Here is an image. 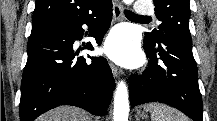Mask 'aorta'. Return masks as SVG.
<instances>
[{
	"mask_svg": "<svg viewBox=\"0 0 217 121\" xmlns=\"http://www.w3.org/2000/svg\"><path fill=\"white\" fill-rule=\"evenodd\" d=\"M126 5H130L133 0H123ZM129 100L128 88L126 83L121 81L118 83L114 96V112L113 121H128Z\"/></svg>",
	"mask_w": 217,
	"mask_h": 121,
	"instance_id": "obj_1",
	"label": "aorta"
}]
</instances>
